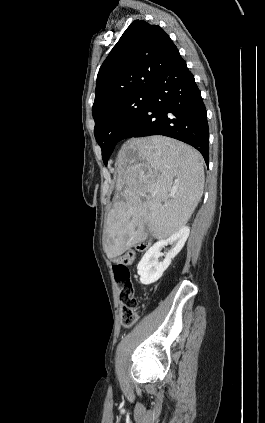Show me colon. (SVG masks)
I'll return each instance as SVG.
<instances>
[{
	"instance_id": "5ec220e1",
	"label": "colon",
	"mask_w": 265,
	"mask_h": 423,
	"mask_svg": "<svg viewBox=\"0 0 265 423\" xmlns=\"http://www.w3.org/2000/svg\"><path fill=\"white\" fill-rule=\"evenodd\" d=\"M148 243H140L138 251L148 248ZM135 259V251L128 250L114 260L113 273L119 286V300L121 303V323L124 327H131L137 321L138 300L135 297L129 266Z\"/></svg>"
}]
</instances>
